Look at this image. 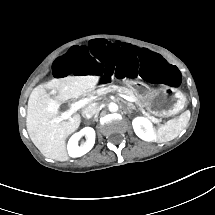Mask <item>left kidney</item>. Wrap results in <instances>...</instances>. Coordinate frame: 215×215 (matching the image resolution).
<instances>
[{"label":"left kidney","mask_w":215,"mask_h":215,"mask_svg":"<svg viewBox=\"0 0 215 215\" xmlns=\"http://www.w3.org/2000/svg\"><path fill=\"white\" fill-rule=\"evenodd\" d=\"M133 129L136 135L144 141L155 139L152 123L144 117H136L132 121Z\"/></svg>","instance_id":"1"}]
</instances>
